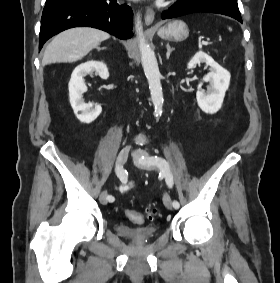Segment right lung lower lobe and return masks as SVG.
Listing matches in <instances>:
<instances>
[{"mask_svg":"<svg viewBox=\"0 0 280 283\" xmlns=\"http://www.w3.org/2000/svg\"><path fill=\"white\" fill-rule=\"evenodd\" d=\"M73 27H93L119 39L133 36V12L117 0H54L46 3L40 28L39 49L52 36Z\"/></svg>","mask_w":280,"mask_h":283,"instance_id":"1","label":"right lung lower lobe"}]
</instances>
